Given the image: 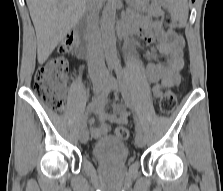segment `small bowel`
I'll list each match as a JSON object with an SVG mask.
<instances>
[{
    "instance_id": "1",
    "label": "small bowel",
    "mask_w": 223,
    "mask_h": 191,
    "mask_svg": "<svg viewBox=\"0 0 223 191\" xmlns=\"http://www.w3.org/2000/svg\"><path fill=\"white\" fill-rule=\"evenodd\" d=\"M153 10L158 12L157 7H154ZM126 28L130 33H137L147 43L156 42L158 52L165 58L163 63H149L147 66V78L154 85V96H161L164 88L178 86L182 81L184 65V38L173 30L163 29L161 23L156 19L143 21L133 19L127 23ZM106 99L92 110L98 117V125H95V120L88 117L87 114L84 116L85 127L89 126L93 138L105 136L110 131L112 123L126 124L128 122L129 112L124 104L107 103ZM108 107L112 109V113H107Z\"/></svg>"
}]
</instances>
